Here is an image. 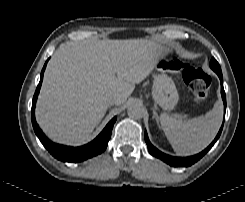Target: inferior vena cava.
I'll list each match as a JSON object with an SVG mask.
<instances>
[{
    "instance_id": "inferior-vena-cava-1",
    "label": "inferior vena cava",
    "mask_w": 245,
    "mask_h": 202,
    "mask_svg": "<svg viewBox=\"0 0 245 202\" xmlns=\"http://www.w3.org/2000/svg\"><path fill=\"white\" fill-rule=\"evenodd\" d=\"M119 102V96L116 94H112L107 97V103L108 105H115Z\"/></svg>"
}]
</instances>
